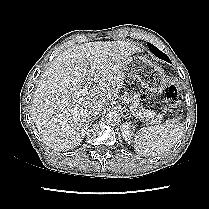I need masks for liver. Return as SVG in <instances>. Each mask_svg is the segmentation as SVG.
I'll return each instance as SVG.
<instances>
[{"label": "liver", "mask_w": 209, "mask_h": 209, "mask_svg": "<svg viewBox=\"0 0 209 209\" xmlns=\"http://www.w3.org/2000/svg\"><path fill=\"white\" fill-rule=\"evenodd\" d=\"M141 49L128 41L75 45L55 58L41 75L32 100V120L43 142L56 151L78 146L90 121L89 109L118 98L126 65ZM88 95L77 96L83 86Z\"/></svg>", "instance_id": "1"}]
</instances>
